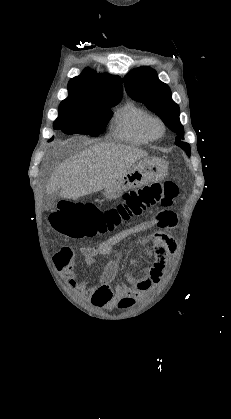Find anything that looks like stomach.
Segmentation results:
<instances>
[{"mask_svg": "<svg viewBox=\"0 0 231 419\" xmlns=\"http://www.w3.org/2000/svg\"><path fill=\"white\" fill-rule=\"evenodd\" d=\"M167 171V164L164 160L157 157H144L118 178L114 184L105 188L103 194L110 200L119 198L130 189L163 180Z\"/></svg>", "mask_w": 231, "mask_h": 419, "instance_id": "stomach-1", "label": "stomach"}]
</instances>
